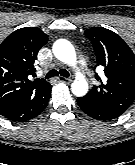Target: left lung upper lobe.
<instances>
[{
    "mask_svg": "<svg viewBox=\"0 0 135 165\" xmlns=\"http://www.w3.org/2000/svg\"><path fill=\"white\" fill-rule=\"evenodd\" d=\"M92 42L97 65L104 66L106 81L94 86L86 97L103 104L115 113L123 114L135 99V55L115 32L93 27L85 31Z\"/></svg>",
    "mask_w": 135,
    "mask_h": 165,
    "instance_id": "5c2ea615",
    "label": "left lung upper lobe"
}]
</instances>
